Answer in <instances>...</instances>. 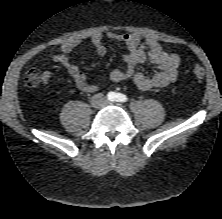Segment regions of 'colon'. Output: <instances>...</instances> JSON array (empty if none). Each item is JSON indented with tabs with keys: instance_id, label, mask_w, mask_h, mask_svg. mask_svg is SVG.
<instances>
[{
	"instance_id": "5ec220e1",
	"label": "colon",
	"mask_w": 222,
	"mask_h": 219,
	"mask_svg": "<svg viewBox=\"0 0 222 219\" xmlns=\"http://www.w3.org/2000/svg\"><path fill=\"white\" fill-rule=\"evenodd\" d=\"M193 75L202 79L205 75V70L200 65H193L191 68ZM25 82L29 87H37L41 82V74L38 68L31 67L25 73Z\"/></svg>"
}]
</instances>
